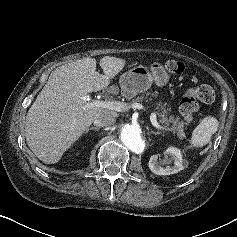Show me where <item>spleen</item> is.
I'll use <instances>...</instances> for the list:
<instances>
[{
	"label": "spleen",
	"mask_w": 237,
	"mask_h": 237,
	"mask_svg": "<svg viewBox=\"0 0 237 237\" xmlns=\"http://www.w3.org/2000/svg\"><path fill=\"white\" fill-rule=\"evenodd\" d=\"M218 126L219 122L215 117L203 118L192 132L190 147L199 148L210 143L212 135L218 130Z\"/></svg>",
	"instance_id": "spleen-1"
}]
</instances>
